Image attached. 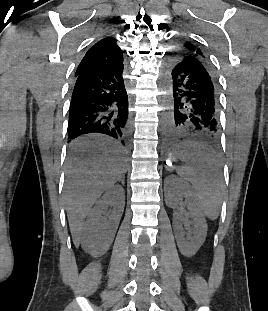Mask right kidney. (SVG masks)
Segmentation results:
<instances>
[{"mask_svg": "<svg viewBox=\"0 0 268 311\" xmlns=\"http://www.w3.org/2000/svg\"><path fill=\"white\" fill-rule=\"evenodd\" d=\"M125 192L122 186L110 187L98 200L84 224L81 245L85 252L104 254L112 244L124 211Z\"/></svg>", "mask_w": 268, "mask_h": 311, "instance_id": "ca27d5eb", "label": "right kidney"}]
</instances>
